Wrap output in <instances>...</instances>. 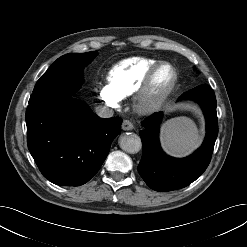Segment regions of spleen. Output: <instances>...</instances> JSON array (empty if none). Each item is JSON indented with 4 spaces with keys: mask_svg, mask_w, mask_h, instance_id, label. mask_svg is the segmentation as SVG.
Wrapping results in <instances>:
<instances>
[{
    "mask_svg": "<svg viewBox=\"0 0 247 247\" xmlns=\"http://www.w3.org/2000/svg\"><path fill=\"white\" fill-rule=\"evenodd\" d=\"M201 136L195 123L187 117L168 120L162 127L161 144L163 149L173 156H184L195 149Z\"/></svg>",
    "mask_w": 247,
    "mask_h": 247,
    "instance_id": "obj_1",
    "label": "spleen"
}]
</instances>
